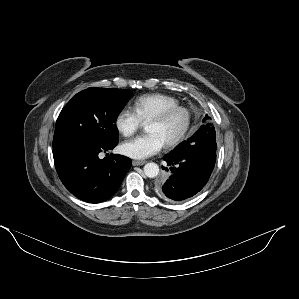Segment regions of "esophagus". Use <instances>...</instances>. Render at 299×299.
Segmentation results:
<instances>
[{
	"label": "esophagus",
	"instance_id": "1",
	"mask_svg": "<svg viewBox=\"0 0 299 299\" xmlns=\"http://www.w3.org/2000/svg\"><path fill=\"white\" fill-rule=\"evenodd\" d=\"M145 163H146V161H138V160L132 161L133 166H141V165H144Z\"/></svg>",
	"mask_w": 299,
	"mask_h": 299
}]
</instances>
